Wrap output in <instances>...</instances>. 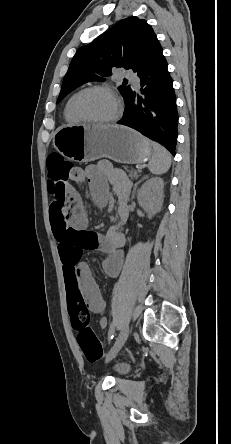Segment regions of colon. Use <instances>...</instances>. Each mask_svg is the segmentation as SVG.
<instances>
[{"mask_svg":"<svg viewBox=\"0 0 231 444\" xmlns=\"http://www.w3.org/2000/svg\"><path fill=\"white\" fill-rule=\"evenodd\" d=\"M48 186L55 199L64 190L72 176H77L79 170L73 163L57 153L47 158ZM68 308L73 328L77 331V341L80 349L89 362H97L102 358L103 347L97 335L90 328V313L81 294L73 289L67 290Z\"/></svg>","mask_w":231,"mask_h":444,"instance_id":"1","label":"colon"}]
</instances>
